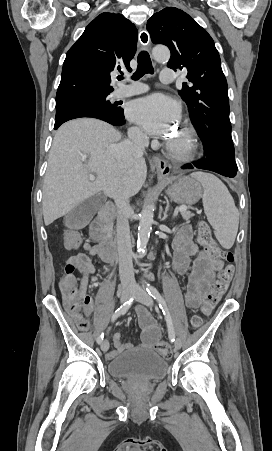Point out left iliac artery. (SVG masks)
Masks as SVG:
<instances>
[{
    "label": "left iliac artery",
    "instance_id": "left-iliac-artery-1",
    "mask_svg": "<svg viewBox=\"0 0 272 451\" xmlns=\"http://www.w3.org/2000/svg\"><path fill=\"white\" fill-rule=\"evenodd\" d=\"M146 291L148 292V294L150 296H152L158 302L159 307L161 308V310L165 316L166 322H167L169 339L171 342H174L175 341V331H174L171 315H170V312L168 310V307H167V304H166L164 298L161 296L159 291L155 287L151 286L150 284H147Z\"/></svg>",
    "mask_w": 272,
    "mask_h": 451
}]
</instances>
